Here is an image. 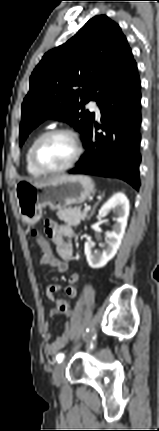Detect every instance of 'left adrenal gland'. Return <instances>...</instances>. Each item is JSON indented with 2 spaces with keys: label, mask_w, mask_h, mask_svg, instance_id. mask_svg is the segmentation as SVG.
I'll use <instances>...</instances> for the list:
<instances>
[{
  "label": "left adrenal gland",
  "mask_w": 159,
  "mask_h": 431,
  "mask_svg": "<svg viewBox=\"0 0 159 431\" xmlns=\"http://www.w3.org/2000/svg\"><path fill=\"white\" fill-rule=\"evenodd\" d=\"M97 204H98V202L93 206V208H92V210H91V213H90V215H89L88 219H89V218L94 214V212H95V208H96Z\"/></svg>",
  "instance_id": "left-adrenal-gland-1"
}]
</instances>
